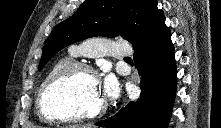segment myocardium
I'll list each match as a JSON object with an SVG mask.
<instances>
[{"label": "myocardium", "instance_id": "1", "mask_svg": "<svg viewBox=\"0 0 221 128\" xmlns=\"http://www.w3.org/2000/svg\"><path fill=\"white\" fill-rule=\"evenodd\" d=\"M78 72H85L93 76L97 81H99L98 72L90 65L83 62H71L60 69L58 72L53 74L50 78L43 82L41 85L38 95H37V112L41 119L45 121H58V122H73L79 120H92L102 116L106 109L107 103L104 99L102 104L95 110H87L78 114H59L51 112L46 108V99L49 91L60 84L61 82L67 80L72 75Z\"/></svg>", "mask_w": 221, "mask_h": 128}]
</instances>
